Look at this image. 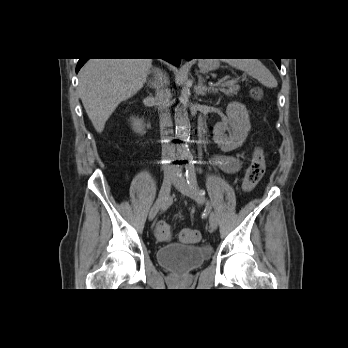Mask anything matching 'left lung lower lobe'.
<instances>
[{"label":"left lung lower lobe","mask_w":348,"mask_h":348,"mask_svg":"<svg viewBox=\"0 0 348 348\" xmlns=\"http://www.w3.org/2000/svg\"><path fill=\"white\" fill-rule=\"evenodd\" d=\"M274 61L276 62L277 66L280 68V65H281L280 59H277V60H274Z\"/></svg>","instance_id":"0a47b994"}]
</instances>
